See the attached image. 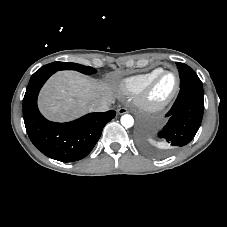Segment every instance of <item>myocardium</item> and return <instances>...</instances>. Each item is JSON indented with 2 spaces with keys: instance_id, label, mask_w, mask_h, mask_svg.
I'll return each instance as SVG.
<instances>
[{
  "instance_id": "obj_1",
  "label": "myocardium",
  "mask_w": 227,
  "mask_h": 227,
  "mask_svg": "<svg viewBox=\"0 0 227 227\" xmlns=\"http://www.w3.org/2000/svg\"><path fill=\"white\" fill-rule=\"evenodd\" d=\"M171 73L174 76L175 82L171 91L163 98L156 99L153 97V92L159 80L165 75ZM180 78L176 71L170 69H161L140 91L138 102L146 110L158 111L165 108L171 103L179 91Z\"/></svg>"
}]
</instances>
